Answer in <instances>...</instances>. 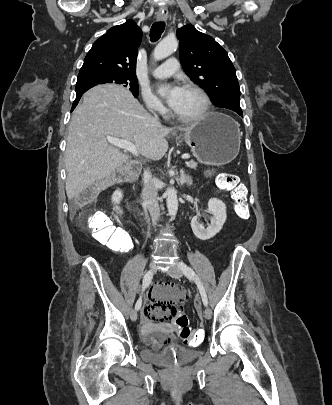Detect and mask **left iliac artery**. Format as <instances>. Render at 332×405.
Returning <instances> with one entry per match:
<instances>
[{"instance_id": "left-iliac-artery-1", "label": "left iliac artery", "mask_w": 332, "mask_h": 405, "mask_svg": "<svg viewBox=\"0 0 332 405\" xmlns=\"http://www.w3.org/2000/svg\"><path fill=\"white\" fill-rule=\"evenodd\" d=\"M178 267L180 268V270L183 272V274L191 281H194L199 289L203 304L205 306L208 305V298H207V294L205 291V288L202 284V282L200 281L199 277L197 276V274L193 271V269L191 267H189L187 264H185L184 262H180L178 264Z\"/></svg>"}]
</instances>
